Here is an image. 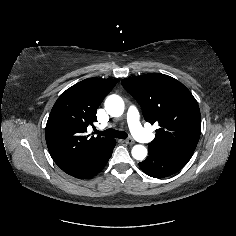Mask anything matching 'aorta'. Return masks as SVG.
Segmentation results:
<instances>
[{
  "label": "aorta",
  "instance_id": "aorta-1",
  "mask_svg": "<svg viewBox=\"0 0 236 236\" xmlns=\"http://www.w3.org/2000/svg\"><path fill=\"white\" fill-rule=\"evenodd\" d=\"M106 112L113 116L119 117L124 112V101L119 95H110L106 98L105 103ZM132 156L136 160H144L147 156V149L143 145H135L131 150Z\"/></svg>",
  "mask_w": 236,
  "mask_h": 236
}]
</instances>
